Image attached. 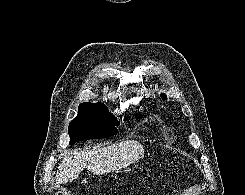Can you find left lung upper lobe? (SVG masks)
Instances as JSON below:
<instances>
[{
  "mask_svg": "<svg viewBox=\"0 0 245 195\" xmlns=\"http://www.w3.org/2000/svg\"><path fill=\"white\" fill-rule=\"evenodd\" d=\"M162 98L166 99V96L164 94L161 95Z\"/></svg>",
  "mask_w": 245,
  "mask_h": 195,
  "instance_id": "5c2ea615",
  "label": "left lung upper lobe"
}]
</instances>
